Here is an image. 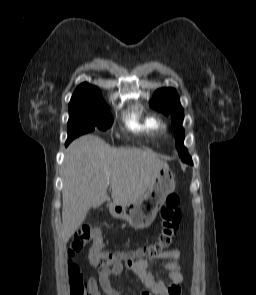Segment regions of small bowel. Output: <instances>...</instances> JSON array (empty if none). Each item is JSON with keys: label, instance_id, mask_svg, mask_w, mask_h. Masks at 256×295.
Masks as SVG:
<instances>
[{"label": "small bowel", "instance_id": "obj_1", "mask_svg": "<svg viewBox=\"0 0 256 295\" xmlns=\"http://www.w3.org/2000/svg\"><path fill=\"white\" fill-rule=\"evenodd\" d=\"M180 258L181 252L178 249L164 252L159 256V259L167 261L163 268L167 272L168 284L155 276L154 271L150 268L151 260L137 259L131 260L128 264L118 262L111 268H99L98 282L95 277L88 280L89 291L92 295H101L98 289L99 284L105 295H120L111 285L110 278L121 274L126 267L140 279L144 287L142 295H180V285L184 280L178 262Z\"/></svg>", "mask_w": 256, "mask_h": 295}]
</instances>
